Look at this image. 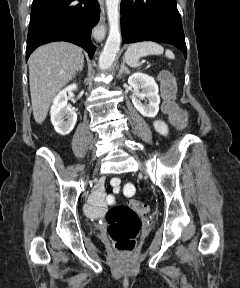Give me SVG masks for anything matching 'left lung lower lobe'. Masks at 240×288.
<instances>
[{"label":"left lung lower lobe","instance_id":"0a47b994","mask_svg":"<svg viewBox=\"0 0 240 288\" xmlns=\"http://www.w3.org/2000/svg\"><path fill=\"white\" fill-rule=\"evenodd\" d=\"M124 43L155 41L176 46L186 58V43L176 0H122Z\"/></svg>","mask_w":240,"mask_h":288}]
</instances>
